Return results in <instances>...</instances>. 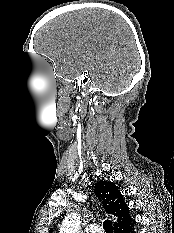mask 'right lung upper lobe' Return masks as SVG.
Masks as SVG:
<instances>
[{
  "mask_svg": "<svg viewBox=\"0 0 174 233\" xmlns=\"http://www.w3.org/2000/svg\"><path fill=\"white\" fill-rule=\"evenodd\" d=\"M94 187L95 195L102 201L105 211L117 218L114 224L116 233H120L135 223V220L130 216L129 207L124 202L122 194L114 183L99 181ZM49 233H52V229Z\"/></svg>",
  "mask_w": 174,
  "mask_h": 233,
  "instance_id": "right-lung-upper-lobe-1",
  "label": "right lung upper lobe"
}]
</instances>
